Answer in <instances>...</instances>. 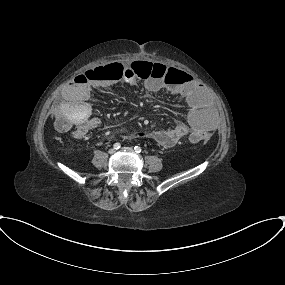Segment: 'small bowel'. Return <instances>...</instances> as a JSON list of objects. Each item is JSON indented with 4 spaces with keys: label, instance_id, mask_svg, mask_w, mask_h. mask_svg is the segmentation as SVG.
Returning <instances> with one entry per match:
<instances>
[{
    "label": "small bowel",
    "instance_id": "c3829d8e",
    "mask_svg": "<svg viewBox=\"0 0 285 285\" xmlns=\"http://www.w3.org/2000/svg\"><path fill=\"white\" fill-rule=\"evenodd\" d=\"M109 65L90 69L99 70L103 73L102 78L92 79L89 82H82L81 75L72 79L63 89V99L56 107L55 112H65L72 110L76 121V128L73 133L75 137H81L87 132L98 128L101 120L88 117L91 107L88 103L90 92L93 88H106L121 81L123 76L127 75V68L122 76L117 72L108 69ZM128 82L135 83L134 77H130ZM144 88L149 92H158L166 89L179 99L187 107L186 122H179L176 126L168 130H155L148 133H141L153 139L160 146L169 148L179 142L180 139L189 135L192 131L208 133L215 128V120L212 112L206 106L205 90L199 86L192 78L182 84L167 86L156 79H149L143 83Z\"/></svg>",
    "mask_w": 285,
    "mask_h": 285
}]
</instances>
